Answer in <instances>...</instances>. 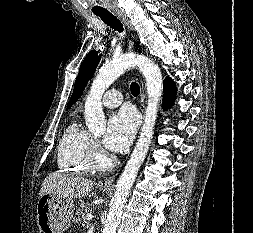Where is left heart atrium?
I'll return each mask as SVG.
<instances>
[{"mask_svg": "<svg viewBox=\"0 0 253 233\" xmlns=\"http://www.w3.org/2000/svg\"><path fill=\"white\" fill-rule=\"evenodd\" d=\"M137 125V115L128 108H123L112 114L103 140L105 147L113 152L124 150L131 143Z\"/></svg>", "mask_w": 253, "mask_h": 233, "instance_id": "obj_1", "label": "left heart atrium"}]
</instances>
